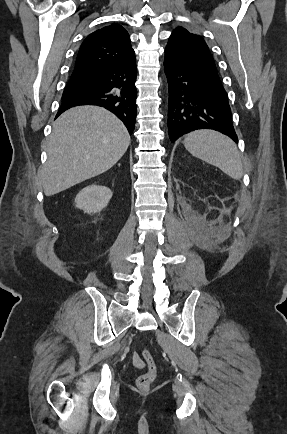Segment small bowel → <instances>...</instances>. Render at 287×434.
<instances>
[{"label":"small bowel","instance_id":"obj_1","mask_svg":"<svg viewBox=\"0 0 287 434\" xmlns=\"http://www.w3.org/2000/svg\"><path fill=\"white\" fill-rule=\"evenodd\" d=\"M135 364L139 368H142L144 366V364L137 357L135 358Z\"/></svg>","mask_w":287,"mask_h":434}]
</instances>
